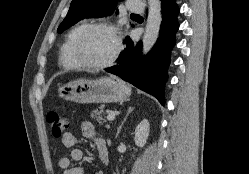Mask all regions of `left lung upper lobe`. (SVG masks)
I'll return each instance as SVG.
<instances>
[{"label":"left lung upper lobe","mask_w":249,"mask_h":174,"mask_svg":"<svg viewBox=\"0 0 249 174\" xmlns=\"http://www.w3.org/2000/svg\"><path fill=\"white\" fill-rule=\"evenodd\" d=\"M118 1L122 0H72L69 11L57 32L62 33L83 18L111 15Z\"/></svg>","instance_id":"left-lung-upper-lobe-1"}]
</instances>
